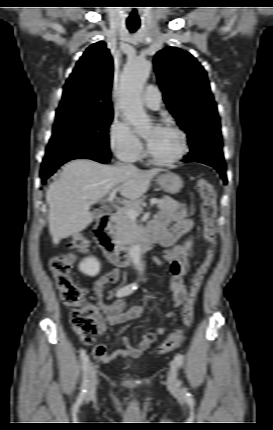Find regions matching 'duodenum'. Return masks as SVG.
Returning a JSON list of instances; mask_svg holds the SVG:
<instances>
[{"label":"duodenum","mask_w":273,"mask_h":430,"mask_svg":"<svg viewBox=\"0 0 273 430\" xmlns=\"http://www.w3.org/2000/svg\"><path fill=\"white\" fill-rule=\"evenodd\" d=\"M112 214H104L94 228V236L98 245L103 249L109 261L119 267L128 266L133 261V247L142 252L151 250L157 242V237L150 232L137 237L132 246L119 244L111 234L110 222Z\"/></svg>","instance_id":"1"}]
</instances>
